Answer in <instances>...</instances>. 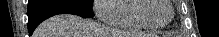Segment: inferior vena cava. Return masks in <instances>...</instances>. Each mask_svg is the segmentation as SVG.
Segmentation results:
<instances>
[{
    "label": "inferior vena cava",
    "instance_id": "1",
    "mask_svg": "<svg viewBox=\"0 0 219 37\" xmlns=\"http://www.w3.org/2000/svg\"><path fill=\"white\" fill-rule=\"evenodd\" d=\"M95 33L97 36H105L107 35V31L104 27H101V25L98 26V28L95 29Z\"/></svg>",
    "mask_w": 219,
    "mask_h": 37
}]
</instances>
